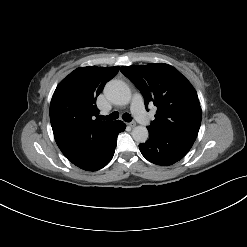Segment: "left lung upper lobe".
<instances>
[{
    "label": "left lung upper lobe",
    "mask_w": 247,
    "mask_h": 247,
    "mask_svg": "<svg viewBox=\"0 0 247 247\" xmlns=\"http://www.w3.org/2000/svg\"><path fill=\"white\" fill-rule=\"evenodd\" d=\"M130 79L149 103L157 106L148 130L194 142L201 125V107L191 83L173 66L164 63L124 66ZM148 110V109H147Z\"/></svg>",
    "instance_id": "1"
}]
</instances>
